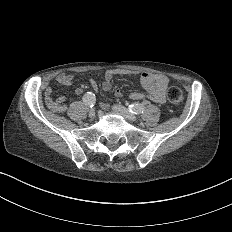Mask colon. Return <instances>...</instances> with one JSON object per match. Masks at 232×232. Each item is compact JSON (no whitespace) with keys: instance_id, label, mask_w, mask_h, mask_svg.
Returning <instances> with one entry per match:
<instances>
[{"instance_id":"colon-1","label":"colon","mask_w":232,"mask_h":232,"mask_svg":"<svg viewBox=\"0 0 232 232\" xmlns=\"http://www.w3.org/2000/svg\"><path fill=\"white\" fill-rule=\"evenodd\" d=\"M169 102H165V107H183V96L180 94V86H169L166 92ZM47 108L54 113H67V105H65L62 96H50L47 101Z\"/></svg>"}]
</instances>
